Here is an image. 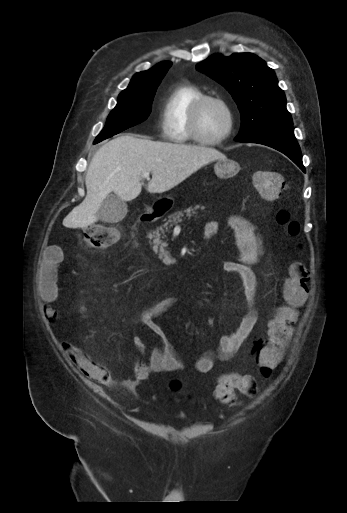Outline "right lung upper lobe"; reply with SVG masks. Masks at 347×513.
I'll return each instance as SVG.
<instances>
[{"mask_svg": "<svg viewBox=\"0 0 347 513\" xmlns=\"http://www.w3.org/2000/svg\"><path fill=\"white\" fill-rule=\"evenodd\" d=\"M170 66L171 62H161L147 71L136 73L125 91L138 89L149 83L161 81Z\"/></svg>", "mask_w": 347, "mask_h": 513, "instance_id": "obj_1", "label": "right lung upper lobe"}]
</instances>
